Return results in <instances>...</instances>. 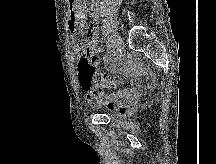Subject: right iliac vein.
<instances>
[{
  "instance_id": "63e3f726",
  "label": "right iliac vein",
  "mask_w": 216,
  "mask_h": 164,
  "mask_svg": "<svg viewBox=\"0 0 216 164\" xmlns=\"http://www.w3.org/2000/svg\"><path fill=\"white\" fill-rule=\"evenodd\" d=\"M112 42H113V45L117 48V50H119L121 48L122 41L116 33L113 34V36H112Z\"/></svg>"
}]
</instances>
